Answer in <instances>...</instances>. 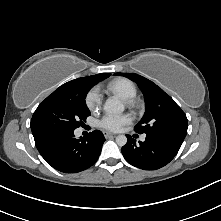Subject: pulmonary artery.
<instances>
[{
	"instance_id": "1",
	"label": "pulmonary artery",
	"mask_w": 221,
	"mask_h": 221,
	"mask_svg": "<svg viewBox=\"0 0 221 221\" xmlns=\"http://www.w3.org/2000/svg\"><path fill=\"white\" fill-rule=\"evenodd\" d=\"M145 138H146L145 136H142V137H141V141H144V140H145Z\"/></svg>"
}]
</instances>
